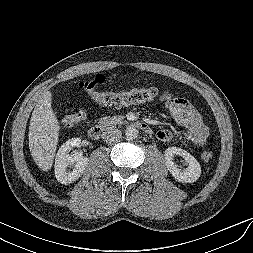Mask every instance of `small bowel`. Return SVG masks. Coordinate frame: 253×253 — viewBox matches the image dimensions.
<instances>
[{
    "instance_id": "obj_1",
    "label": "small bowel",
    "mask_w": 253,
    "mask_h": 253,
    "mask_svg": "<svg viewBox=\"0 0 253 253\" xmlns=\"http://www.w3.org/2000/svg\"><path fill=\"white\" fill-rule=\"evenodd\" d=\"M161 101L172 118L186 129V139L195 147H203L207 142L209 129L192 103L170 92L163 93ZM156 137L162 142H168L172 139L173 134L169 130H160L156 133Z\"/></svg>"
}]
</instances>
